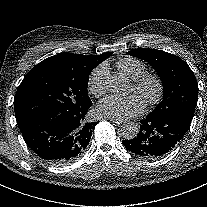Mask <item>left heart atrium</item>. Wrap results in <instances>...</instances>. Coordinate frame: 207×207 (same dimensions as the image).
Wrapping results in <instances>:
<instances>
[{"label":"left heart atrium","instance_id":"left-heart-atrium-1","mask_svg":"<svg viewBox=\"0 0 207 207\" xmlns=\"http://www.w3.org/2000/svg\"><path fill=\"white\" fill-rule=\"evenodd\" d=\"M144 101L138 94L125 97L109 95L102 99L97 106V112L104 117L123 120L142 114Z\"/></svg>","mask_w":207,"mask_h":207}]
</instances>
